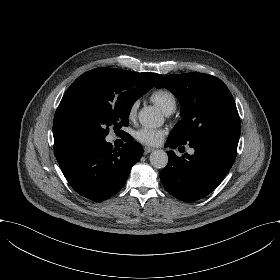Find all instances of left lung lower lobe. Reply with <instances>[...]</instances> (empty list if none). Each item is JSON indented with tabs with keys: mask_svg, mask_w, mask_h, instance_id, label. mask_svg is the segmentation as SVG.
Masks as SVG:
<instances>
[{
	"mask_svg": "<svg viewBox=\"0 0 280 280\" xmlns=\"http://www.w3.org/2000/svg\"><path fill=\"white\" fill-rule=\"evenodd\" d=\"M239 138L213 137L194 140L189 146L193 155L178 157L168 151L169 162L161 170L160 179L164 188L175 198L193 202L210 194L225 178L234 163ZM170 148L182 146L179 140L168 137Z\"/></svg>",
	"mask_w": 280,
	"mask_h": 280,
	"instance_id": "left-lung-lower-lobe-1",
	"label": "left lung lower lobe"
}]
</instances>
